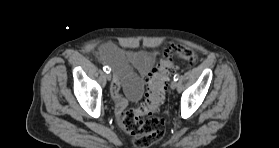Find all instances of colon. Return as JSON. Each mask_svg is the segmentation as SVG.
<instances>
[{"mask_svg":"<svg viewBox=\"0 0 279 148\" xmlns=\"http://www.w3.org/2000/svg\"><path fill=\"white\" fill-rule=\"evenodd\" d=\"M175 59H184L189 63L197 60L195 51L180 45L169 46L160 65L154 68L147 79V91L143 102L119 114L120 126L132 136L136 148H147L159 141L165 132L162 118L154 116L163 103L165 91Z\"/></svg>","mask_w":279,"mask_h":148,"instance_id":"1","label":"colon"}]
</instances>
